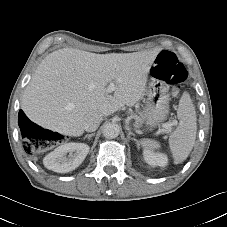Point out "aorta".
Segmentation results:
<instances>
[{
	"mask_svg": "<svg viewBox=\"0 0 227 227\" xmlns=\"http://www.w3.org/2000/svg\"><path fill=\"white\" fill-rule=\"evenodd\" d=\"M120 134V126L116 123H106L103 126V136L109 139L118 137Z\"/></svg>",
	"mask_w": 227,
	"mask_h": 227,
	"instance_id": "aorta-1",
	"label": "aorta"
}]
</instances>
